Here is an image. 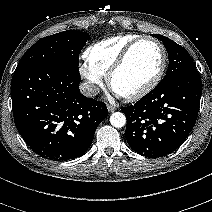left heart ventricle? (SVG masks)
<instances>
[{
	"mask_svg": "<svg viewBox=\"0 0 212 212\" xmlns=\"http://www.w3.org/2000/svg\"><path fill=\"white\" fill-rule=\"evenodd\" d=\"M161 59V51L155 44L144 42L137 45L113 79L114 91L128 95L145 86L157 73Z\"/></svg>",
	"mask_w": 212,
	"mask_h": 212,
	"instance_id": "b2bd125f",
	"label": "left heart ventricle"
}]
</instances>
